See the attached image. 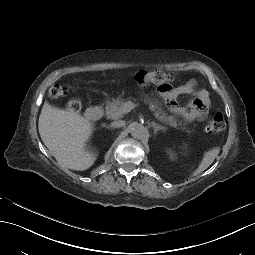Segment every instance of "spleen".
Returning <instances> with one entry per match:
<instances>
[{
  "instance_id": "3e777b00",
  "label": "spleen",
  "mask_w": 255,
  "mask_h": 255,
  "mask_svg": "<svg viewBox=\"0 0 255 255\" xmlns=\"http://www.w3.org/2000/svg\"><path fill=\"white\" fill-rule=\"evenodd\" d=\"M219 154V149L215 148L211 151H208L204 154L203 160L199 167L194 171L193 175L196 176L206 170L215 160L217 155Z\"/></svg>"
}]
</instances>
